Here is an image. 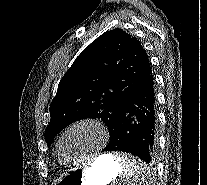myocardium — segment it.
Wrapping results in <instances>:
<instances>
[{
  "label": "myocardium",
  "instance_id": "1",
  "mask_svg": "<svg viewBox=\"0 0 207 185\" xmlns=\"http://www.w3.org/2000/svg\"><path fill=\"white\" fill-rule=\"evenodd\" d=\"M79 125H92V126L96 127L104 139H106L110 134L107 126L101 120L96 119V118H82V119H79V120H76V121L72 122L70 125H68L63 130V132L61 133V135L59 137L58 143H57V152H58L59 157L64 162L69 163V164H80V163H82V162H84L88 159L95 158V157L99 156V154H100L99 150H97L95 152H92V153L88 154L85 157H82V158L76 159V160L68 159L64 155V153L62 151L63 139L70 130H72L73 128H75Z\"/></svg>",
  "mask_w": 207,
  "mask_h": 185
}]
</instances>
